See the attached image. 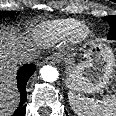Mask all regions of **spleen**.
Here are the masks:
<instances>
[{
	"mask_svg": "<svg viewBox=\"0 0 116 116\" xmlns=\"http://www.w3.org/2000/svg\"><path fill=\"white\" fill-rule=\"evenodd\" d=\"M72 110L78 116H116V95L106 96L102 101L68 93Z\"/></svg>",
	"mask_w": 116,
	"mask_h": 116,
	"instance_id": "obj_1",
	"label": "spleen"
}]
</instances>
